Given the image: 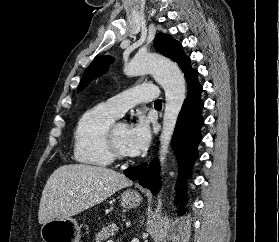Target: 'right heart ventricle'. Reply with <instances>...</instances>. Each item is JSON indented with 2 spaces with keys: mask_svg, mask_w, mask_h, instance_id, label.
I'll return each mask as SVG.
<instances>
[{
  "mask_svg": "<svg viewBox=\"0 0 279 242\" xmlns=\"http://www.w3.org/2000/svg\"><path fill=\"white\" fill-rule=\"evenodd\" d=\"M117 118L105 104H98L81 115L74 131L76 161L96 167H107L113 162L107 135Z\"/></svg>",
  "mask_w": 279,
  "mask_h": 242,
  "instance_id": "obj_1",
  "label": "right heart ventricle"
}]
</instances>
